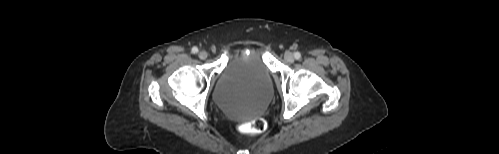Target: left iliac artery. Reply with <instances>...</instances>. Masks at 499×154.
I'll return each instance as SVG.
<instances>
[{
  "label": "left iliac artery",
  "instance_id": "obj_1",
  "mask_svg": "<svg viewBox=\"0 0 499 154\" xmlns=\"http://www.w3.org/2000/svg\"><path fill=\"white\" fill-rule=\"evenodd\" d=\"M295 59L300 60L301 59V54L299 52H296L294 54Z\"/></svg>",
  "mask_w": 499,
  "mask_h": 154
}]
</instances>
